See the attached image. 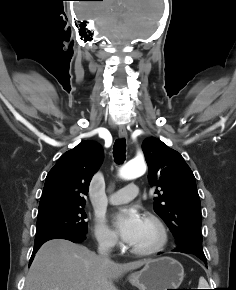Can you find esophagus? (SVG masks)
Returning <instances> with one entry per match:
<instances>
[{
    "label": "esophagus",
    "mask_w": 236,
    "mask_h": 290,
    "mask_svg": "<svg viewBox=\"0 0 236 290\" xmlns=\"http://www.w3.org/2000/svg\"><path fill=\"white\" fill-rule=\"evenodd\" d=\"M118 134H119L120 138H126L127 137V130H126L125 126L121 125L119 127Z\"/></svg>",
    "instance_id": "esophagus-1"
}]
</instances>
